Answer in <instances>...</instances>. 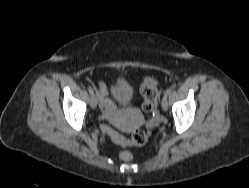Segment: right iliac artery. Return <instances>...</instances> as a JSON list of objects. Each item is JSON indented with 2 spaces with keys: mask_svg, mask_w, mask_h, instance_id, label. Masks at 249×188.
I'll list each match as a JSON object with an SVG mask.
<instances>
[{
  "mask_svg": "<svg viewBox=\"0 0 249 188\" xmlns=\"http://www.w3.org/2000/svg\"><path fill=\"white\" fill-rule=\"evenodd\" d=\"M88 91H89V93L92 95L94 92H93V89L89 86L88 87Z\"/></svg>",
  "mask_w": 249,
  "mask_h": 188,
  "instance_id": "82829eb1",
  "label": "right iliac artery"
}]
</instances>
